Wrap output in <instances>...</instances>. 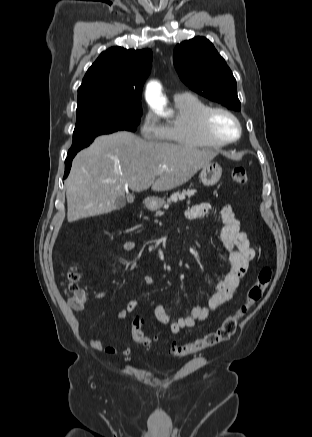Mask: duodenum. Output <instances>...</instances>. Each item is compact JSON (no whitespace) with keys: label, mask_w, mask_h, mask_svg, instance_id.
<instances>
[{"label":"duodenum","mask_w":312,"mask_h":437,"mask_svg":"<svg viewBox=\"0 0 312 437\" xmlns=\"http://www.w3.org/2000/svg\"><path fill=\"white\" fill-rule=\"evenodd\" d=\"M154 202H155V199L153 198V197H147L146 199H145V203H146V205L147 206H152L153 204H154Z\"/></svg>","instance_id":"obj_1"}]
</instances>
